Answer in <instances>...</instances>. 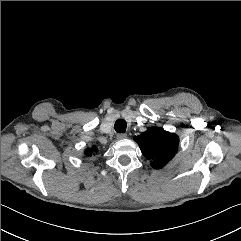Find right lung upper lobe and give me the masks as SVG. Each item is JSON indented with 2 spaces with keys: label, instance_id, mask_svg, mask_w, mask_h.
Masks as SVG:
<instances>
[{
  "label": "right lung upper lobe",
  "instance_id": "right-lung-upper-lobe-1",
  "mask_svg": "<svg viewBox=\"0 0 241 241\" xmlns=\"http://www.w3.org/2000/svg\"><path fill=\"white\" fill-rule=\"evenodd\" d=\"M95 151H97L96 149H95V147H92L91 149L89 148V149H87L86 150V152H85V154L86 155H91L93 152H95Z\"/></svg>",
  "mask_w": 241,
  "mask_h": 241
}]
</instances>
